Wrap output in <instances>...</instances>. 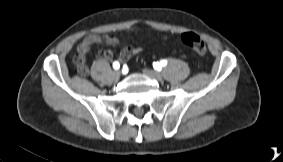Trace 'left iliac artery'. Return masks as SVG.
<instances>
[{"instance_id": "obj_1", "label": "left iliac artery", "mask_w": 283, "mask_h": 162, "mask_svg": "<svg viewBox=\"0 0 283 162\" xmlns=\"http://www.w3.org/2000/svg\"><path fill=\"white\" fill-rule=\"evenodd\" d=\"M154 68H158L159 66H166L167 65V61L166 60H161L160 63H154Z\"/></svg>"}]
</instances>
